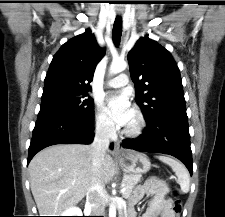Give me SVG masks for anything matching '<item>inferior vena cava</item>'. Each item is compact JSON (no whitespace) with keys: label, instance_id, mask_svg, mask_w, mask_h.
I'll use <instances>...</instances> for the list:
<instances>
[{"label":"inferior vena cava","instance_id":"inferior-vena-cava-1","mask_svg":"<svg viewBox=\"0 0 225 217\" xmlns=\"http://www.w3.org/2000/svg\"><path fill=\"white\" fill-rule=\"evenodd\" d=\"M114 124L110 121H105L96 130L95 138L91 146L92 155V170L93 181L87 192V200L92 204L93 214L95 216H102L105 211V189L104 185L97 180L106 151L109 148V139L115 135Z\"/></svg>","mask_w":225,"mask_h":217}]
</instances>
